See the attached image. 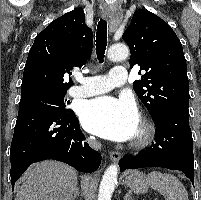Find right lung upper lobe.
Segmentation results:
<instances>
[{
  "label": "right lung upper lobe",
  "mask_w": 201,
  "mask_h": 200,
  "mask_svg": "<svg viewBox=\"0 0 201 200\" xmlns=\"http://www.w3.org/2000/svg\"><path fill=\"white\" fill-rule=\"evenodd\" d=\"M92 45L93 33L85 24L83 9H74L52 21L37 35L29 51L21 95L66 92L73 84L68 78L70 70L85 64Z\"/></svg>",
  "instance_id": "right-lung-upper-lobe-1"
}]
</instances>
